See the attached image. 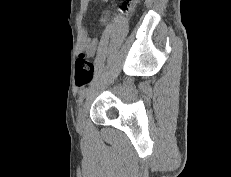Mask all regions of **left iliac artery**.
I'll return each instance as SVG.
<instances>
[{
  "label": "left iliac artery",
  "mask_w": 231,
  "mask_h": 177,
  "mask_svg": "<svg viewBox=\"0 0 231 177\" xmlns=\"http://www.w3.org/2000/svg\"><path fill=\"white\" fill-rule=\"evenodd\" d=\"M87 93H88V88L87 87L80 91L79 99H78L79 105L83 102V100H84L85 96L87 95Z\"/></svg>",
  "instance_id": "44dca946"
}]
</instances>
